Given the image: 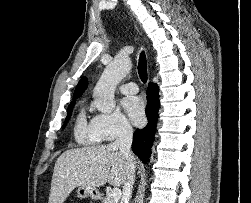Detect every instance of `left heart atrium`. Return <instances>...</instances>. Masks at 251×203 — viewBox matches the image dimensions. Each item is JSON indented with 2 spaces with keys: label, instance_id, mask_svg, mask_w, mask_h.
<instances>
[{
  "label": "left heart atrium",
  "instance_id": "39dd6f15",
  "mask_svg": "<svg viewBox=\"0 0 251 203\" xmlns=\"http://www.w3.org/2000/svg\"><path fill=\"white\" fill-rule=\"evenodd\" d=\"M123 106L135 125H141L145 121L144 102L139 97L126 98Z\"/></svg>",
  "mask_w": 251,
  "mask_h": 203
}]
</instances>
